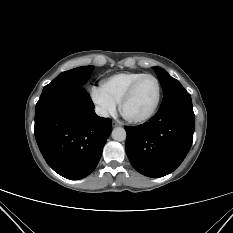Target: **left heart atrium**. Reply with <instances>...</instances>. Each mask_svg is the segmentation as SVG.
I'll return each instance as SVG.
<instances>
[{
  "mask_svg": "<svg viewBox=\"0 0 233 233\" xmlns=\"http://www.w3.org/2000/svg\"><path fill=\"white\" fill-rule=\"evenodd\" d=\"M123 115H124V117H126V118H129L130 116L128 115V113L125 111V110H123Z\"/></svg>",
  "mask_w": 233,
  "mask_h": 233,
  "instance_id": "1",
  "label": "left heart atrium"
}]
</instances>
